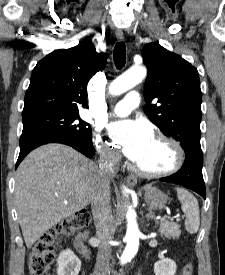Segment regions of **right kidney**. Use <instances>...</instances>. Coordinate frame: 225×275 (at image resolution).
Here are the masks:
<instances>
[{"mask_svg": "<svg viewBox=\"0 0 225 275\" xmlns=\"http://www.w3.org/2000/svg\"><path fill=\"white\" fill-rule=\"evenodd\" d=\"M57 275H78L81 268V261L70 249L59 254Z\"/></svg>", "mask_w": 225, "mask_h": 275, "instance_id": "obj_1", "label": "right kidney"}]
</instances>
